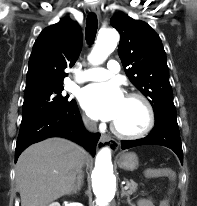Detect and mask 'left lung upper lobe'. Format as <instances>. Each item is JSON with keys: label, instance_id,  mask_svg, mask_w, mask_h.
<instances>
[{"label": "left lung upper lobe", "instance_id": "obj_1", "mask_svg": "<svg viewBox=\"0 0 197 206\" xmlns=\"http://www.w3.org/2000/svg\"><path fill=\"white\" fill-rule=\"evenodd\" d=\"M111 24L121 35L118 54L126 74L151 103L155 124L177 123L166 53L160 37L147 23L124 13L114 15Z\"/></svg>", "mask_w": 197, "mask_h": 206}]
</instances>
